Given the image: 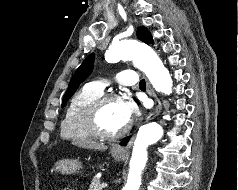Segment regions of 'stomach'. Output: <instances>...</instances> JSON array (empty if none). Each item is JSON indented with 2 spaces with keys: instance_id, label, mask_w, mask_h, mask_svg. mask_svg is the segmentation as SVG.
<instances>
[{
  "instance_id": "1",
  "label": "stomach",
  "mask_w": 238,
  "mask_h": 190,
  "mask_svg": "<svg viewBox=\"0 0 238 190\" xmlns=\"http://www.w3.org/2000/svg\"><path fill=\"white\" fill-rule=\"evenodd\" d=\"M112 157L115 160H122L125 157L124 151H118L114 148L111 149ZM82 167L81 163L77 160L63 159L55 162L54 170L61 174H72L77 172Z\"/></svg>"
}]
</instances>
